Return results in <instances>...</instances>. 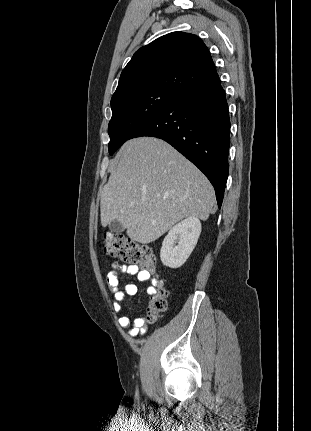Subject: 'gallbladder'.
I'll return each mask as SVG.
<instances>
[{
    "instance_id": "bac80fb5",
    "label": "gallbladder",
    "mask_w": 311,
    "mask_h": 431,
    "mask_svg": "<svg viewBox=\"0 0 311 431\" xmlns=\"http://www.w3.org/2000/svg\"><path fill=\"white\" fill-rule=\"evenodd\" d=\"M109 229H111V231H116V233H120V231H124L125 227H123L120 221L114 219V221H111V223H109Z\"/></svg>"
}]
</instances>
